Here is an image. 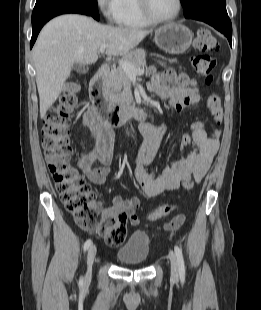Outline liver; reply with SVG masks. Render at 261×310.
Masks as SVG:
<instances>
[{"instance_id":"obj_1","label":"liver","mask_w":261,"mask_h":310,"mask_svg":"<svg viewBox=\"0 0 261 310\" xmlns=\"http://www.w3.org/2000/svg\"><path fill=\"white\" fill-rule=\"evenodd\" d=\"M149 33L101 25L77 14L61 15L48 22L33 48L41 118L60 96L74 63H95L102 44L108 45V56L126 55Z\"/></svg>"}]
</instances>
